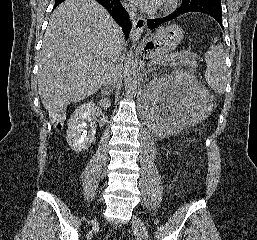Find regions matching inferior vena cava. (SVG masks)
I'll return each instance as SVG.
<instances>
[{
    "label": "inferior vena cava",
    "mask_w": 257,
    "mask_h": 240,
    "mask_svg": "<svg viewBox=\"0 0 257 240\" xmlns=\"http://www.w3.org/2000/svg\"><path fill=\"white\" fill-rule=\"evenodd\" d=\"M126 9L129 12V16L132 22H134L135 16H136V8L133 6L126 5ZM124 43V36L121 31H119L118 40L114 47L113 57L110 64V67L108 69V72L104 78V87L108 92L112 91V88L115 87L119 68H120V62H121V54H120V45Z\"/></svg>",
    "instance_id": "obj_1"
}]
</instances>
